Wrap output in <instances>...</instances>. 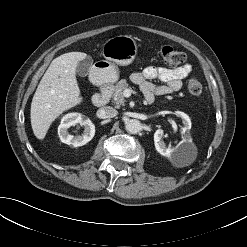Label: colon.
<instances>
[{"label":"colon","instance_id":"1","mask_svg":"<svg viewBox=\"0 0 247 247\" xmlns=\"http://www.w3.org/2000/svg\"><path fill=\"white\" fill-rule=\"evenodd\" d=\"M162 61L168 66H178L185 62L186 56L183 52L171 47L164 46L160 51ZM188 92L198 97L202 94V84L196 77H191L187 83Z\"/></svg>","mask_w":247,"mask_h":247}]
</instances>
